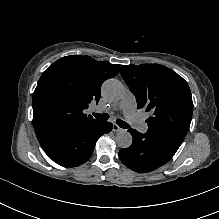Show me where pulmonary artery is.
Listing matches in <instances>:
<instances>
[{
	"label": "pulmonary artery",
	"mask_w": 219,
	"mask_h": 219,
	"mask_svg": "<svg viewBox=\"0 0 219 219\" xmlns=\"http://www.w3.org/2000/svg\"><path fill=\"white\" fill-rule=\"evenodd\" d=\"M119 109L123 112L125 118L131 122V126L135 130H140L143 127V122L139 119L138 113L135 112L136 100L134 94L127 90L119 103ZM98 112L97 108L93 109Z\"/></svg>",
	"instance_id": "e3ab8cb5"
}]
</instances>
